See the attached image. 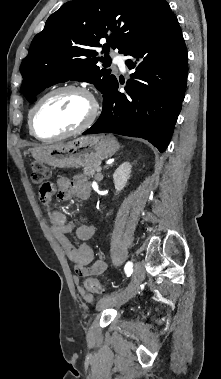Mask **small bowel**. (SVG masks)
<instances>
[{"label": "small bowel", "instance_id": "1", "mask_svg": "<svg viewBox=\"0 0 221 379\" xmlns=\"http://www.w3.org/2000/svg\"><path fill=\"white\" fill-rule=\"evenodd\" d=\"M56 186L58 198L63 201L70 200L74 197L86 199L89 197L91 191L90 184L81 178L71 181L67 177H60L57 179ZM54 192L55 187L52 185L51 190L46 195H40V200L48 209L53 236L74 265L75 282L78 283L79 277L105 273L108 270V265L104 258L100 257L96 261H93V249L86 243L75 244L70 238V234L74 232L79 240H89L95 234V227L86 220H83L79 225L75 226L68 221L64 213L51 208L50 204ZM78 290L86 300L92 299L83 288L79 287Z\"/></svg>", "mask_w": 221, "mask_h": 379}]
</instances>
